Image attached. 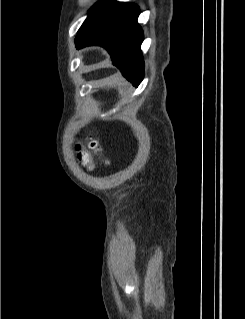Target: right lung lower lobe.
Segmentation results:
<instances>
[{"instance_id": "right-lung-lower-lobe-1", "label": "right lung lower lobe", "mask_w": 245, "mask_h": 319, "mask_svg": "<svg viewBox=\"0 0 245 319\" xmlns=\"http://www.w3.org/2000/svg\"><path fill=\"white\" fill-rule=\"evenodd\" d=\"M140 13L134 4H126L96 25L78 31V47L100 45L111 55L113 64L136 87L144 76V61L141 54L143 32L137 23Z\"/></svg>"}]
</instances>
